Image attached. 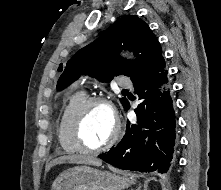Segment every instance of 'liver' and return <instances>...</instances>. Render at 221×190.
Here are the masks:
<instances>
[{"instance_id":"6515ba94","label":"liver","mask_w":221,"mask_h":190,"mask_svg":"<svg viewBox=\"0 0 221 190\" xmlns=\"http://www.w3.org/2000/svg\"><path fill=\"white\" fill-rule=\"evenodd\" d=\"M88 164V165H95L101 166L102 161L94 156L90 155H64L60 156L54 160H52L49 164L46 165V171L48 172L53 166L58 164Z\"/></svg>"}]
</instances>
